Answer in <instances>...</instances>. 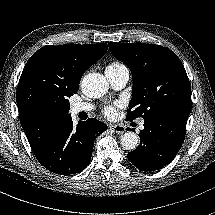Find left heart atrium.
<instances>
[{
	"label": "left heart atrium",
	"instance_id": "left-heart-atrium-1",
	"mask_svg": "<svg viewBox=\"0 0 215 215\" xmlns=\"http://www.w3.org/2000/svg\"><path fill=\"white\" fill-rule=\"evenodd\" d=\"M121 106L120 102H117L115 105L106 106L103 109V114L107 118H113L116 115V109Z\"/></svg>",
	"mask_w": 215,
	"mask_h": 215
}]
</instances>
